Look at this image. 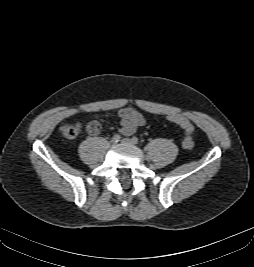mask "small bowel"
<instances>
[{
    "label": "small bowel",
    "instance_id": "1",
    "mask_svg": "<svg viewBox=\"0 0 254 267\" xmlns=\"http://www.w3.org/2000/svg\"><path fill=\"white\" fill-rule=\"evenodd\" d=\"M120 118L119 132L124 136L132 135L139 127L143 126L146 122L144 116L134 108L126 107L117 111ZM100 124L95 119L87 126V131L90 135H97L100 132Z\"/></svg>",
    "mask_w": 254,
    "mask_h": 267
}]
</instances>
